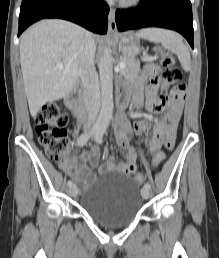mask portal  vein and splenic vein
<instances>
[{
    "label": "portal vein and splenic vein",
    "instance_id": "1",
    "mask_svg": "<svg viewBox=\"0 0 219 258\" xmlns=\"http://www.w3.org/2000/svg\"><path fill=\"white\" fill-rule=\"evenodd\" d=\"M148 57H145L144 59H147ZM59 69H62L63 68V66L62 65H58L57 66ZM125 68V63H123V62H121L120 63V69H124Z\"/></svg>",
    "mask_w": 219,
    "mask_h": 258
}]
</instances>
